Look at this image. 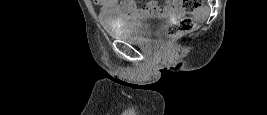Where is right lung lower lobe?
<instances>
[{
    "label": "right lung lower lobe",
    "instance_id": "right-lung-lower-lobe-1",
    "mask_svg": "<svg viewBox=\"0 0 267 115\" xmlns=\"http://www.w3.org/2000/svg\"><path fill=\"white\" fill-rule=\"evenodd\" d=\"M143 89H152V90H156V89H158V87H144Z\"/></svg>",
    "mask_w": 267,
    "mask_h": 115
}]
</instances>
